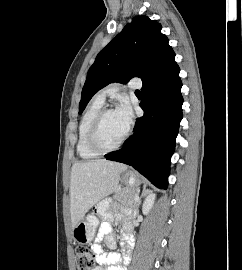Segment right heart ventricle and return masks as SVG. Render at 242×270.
Masks as SVG:
<instances>
[{
    "label": "right heart ventricle",
    "instance_id": "1",
    "mask_svg": "<svg viewBox=\"0 0 242 270\" xmlns=\"http://www.w3.org/2000/svg\"><path fill=\"white\" fill-rule=\"evenodd\" d=\"M103 104L104 102L94 99L81 118L78 130L77 153L82 159H93L99 155L89 148L87 136L93 120L103 109Z\"/></svg>",
    "mask_w": 242,
    "mask_h": 270
}]
</instances>
